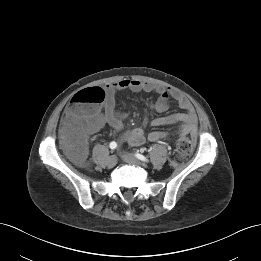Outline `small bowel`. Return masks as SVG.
<instances>
[{
    "instance_id": "c3829d8e",
    "label": "small bowel",
    "mask_w": 261,
    "mask_h": 261,
    "mask_svg": "<svg viewBox=\"0 0 261 261\" xmlns=\"http://www.w3.org/2000/svg\"><path fill=\"white\" fill-rule=\"evenodd\" d=\"M124 90L157 93L159 95L158 100L155 103L150 104L148 108L159 113L167 112L170 108V99H174L183 112L156 117L151 120L146 117L143 125L167 126L179 124L177 128L178 135H191L194 139L196 138L198 132L196 117L189 100L184 95L171 88L132 79H122L107 86L106 97L102 109L97 110L88 120V133H95L105 125H109L117 131L122 130L125 116L115 107V93ZM166 136L167 132L155 130L150 132L146 137L143 127H138L123 133V138L133 146L142 145L146 139L155 142Z\"/></svg>"
}]
</instances>
